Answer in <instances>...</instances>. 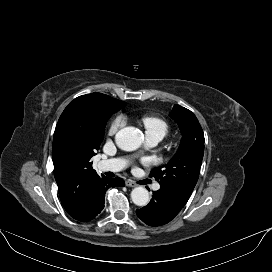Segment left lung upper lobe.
Instances as JSON below:
<instances>
[{
  "instance_id": "5c2ea615",
  "label": "left lung upper lobe",
  "mask_w": 272,
  "mask_h": 272,
  "mask_svg": "<svg viewBox=\"0 0 272 272\" xmlns=\"http://www.w3.org/2000/svg\"><path fill=\"white\" fill-rule=\"evenodd\" d=\"M170 116L179 125L182 139L171 161L152 169L151 175L161 188L187 202L197 183L204 154V134L198 119L190 110L175 105Z\"/></svg>"
}]
</instances>
